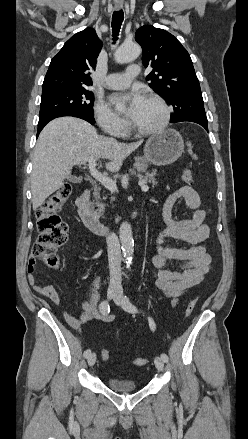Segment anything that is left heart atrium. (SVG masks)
Listing matches in <instances>:
<instances>
[{
  "instance_id": "obj_1",
  "label": "left heart atrium",
  "mask_w": 248,
  "mask_h": 439,
  "mask_svg": "<svg viewBox=\"0 0 248 439\" xmlns=\"http://www.w3.org/2000/svg\"><path fill=\"white\" fill-rule=\"evenodd\" d=\"M111 100L114 104L126 103L128 105V115L133 118L143 105L145 98L138 90H133L126 94L113 95Z\"/></svg>"
}]
</instances>
